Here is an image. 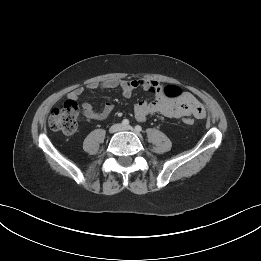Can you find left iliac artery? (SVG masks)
<instances>
[{
	"instance_id": "obj_1",
	"label": "left iliac artery",
	"mask_w": 261,
	"mask_h": 261,
	"mask_svg": "<svg viewBox=\"0 0 261 261\" xmlns=\"http://www.w3.org/2000/svg\"><path fill=\"white\" fill-rule=\"evenodd\" d=\"M141 131H142L141 126L136 125V126H135V132L139 133V132H141Z\"/></svg>"
}]
</instances>
